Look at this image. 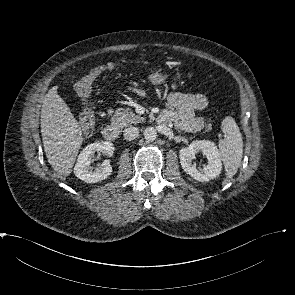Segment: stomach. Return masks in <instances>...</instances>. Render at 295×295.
I'll return each instance as SVG.
<instances>
[{
  "mask_svg": "<svg viewBox=\"0 0 295 295\" xmlns=\"http://www.w3.org/2000/svg\"><path fill=\"white\" fill-rule=\"evenodd\" d=\"M167 76L159 72H153L149 75L148 79L153 85H159L165 82Z\"/></svg>",
  "mask_w": 295,
  "mask_h": 295,
  "instance_id": "obj_1",
  "label": "stomach"
}]
</instances>
